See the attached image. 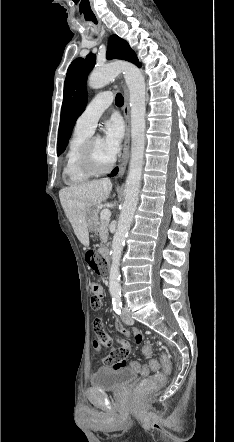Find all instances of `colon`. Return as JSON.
Listing matches in <instances>:
<instances>
[{
	"label": "colon",
	"instance_id": "obj_1",
	"mask_svg": "<svg viewBox=\"0 0 234 442\" xmlns=\"http://www.w3.org/2000/svg\"><path fill=\"white\" fill-rule=\"evenodd\" d=\"M86 261L90 268L99 275H106L108 270V264L102 259V257L93 250H89L86 253ZM91 307L95 310L100 309L103 301V292L101 291L98 283H92L91 285ZM99 320V319H97ZM100 321V320H99ZM101 322V321H100ZM97 344V343H96ZM99 345V344H98ZM126 347V346H125ZM128 350L124 346L118 349L112 354L111 364L113 367H124L126 365V356ZM142 354L146 357H151L153 354V347L149 342H146L142 347ZM162 362L164 366V372L155 374L146 380L138 381V392L147 393L153 389H164L166 385V376L170 371L171 363L170 359L166 356H162ZM159 362L155 359H150L146 364L143 361L133 359L127 362V367L132 373H140L141 375H149L151 372H156L159 369Z\"/></svg>",
	"mask_w": 234,
	"mask_h": 442
}]
</instances>
